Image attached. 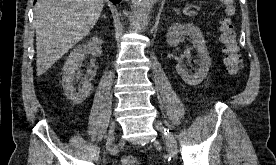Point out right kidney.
<instances>
[{
	"label": "right kidney",
	"mask_w": 276,
	"mask_h": 165,
	"mask_svg": "<svg viewBox=\"0 0 276 165\" xmlns=\"http://www.w3.org/2000/svg\"><path fill=\"white\" fill-rule=\"evenodd\" d=\"M101 45L102 41L97 37H93L89 42L78 45L67 58L63 67L62 86L66 97L74 104H81L91 93L93 86L90 80H85L82 87L76 91L75 79L81 75L79 69L82 66L85 54L90 52L94 57H99L102 52Z\"/></svg>",
	"instance_id": "obj_1"
}]
</instances>
